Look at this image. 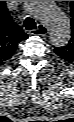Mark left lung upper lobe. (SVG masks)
I'll return each mask as SVG.
<instances>
[{
    "instance_id": "left-lung-upper-lobe-1",
    "label": "left lung upper lobe",
    "mask_w": 74,
    "mask_h": 122,
    "mask_svg": "<svg viewBox=\"0 0 74 122\" xmlns=\"http://www.w3.org/2000/svg\"><path fill=\"white\" fill-rule=\"evenodd\" d=\"M70 9L72 13L71 26H72V34L71 39L66 46L63 47H55V53L62 58L63 60L74 63V1L70 3Z\"/></svg>"
}]
</instances>
